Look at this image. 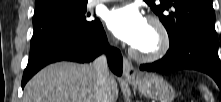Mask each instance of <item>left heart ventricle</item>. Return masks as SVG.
<instances>
[{"label":"left heart ventricle","mask_w":221,"mask_h":102,"mask_svg":"<svg viewBox=\"0 0 221 102\" xmlns=\"http://www.w3.org/2000/svg\"><path fill=\"white\" fill-rule=\"evenodd\" d=\"M158 44L159 37L157 31L147 23L143 37L134 47L142 52H151L157 48Z\"/></svg>","instance_id":"1"}]
</instances>
